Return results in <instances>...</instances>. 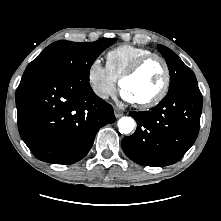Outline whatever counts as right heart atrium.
Masks as SVG:
<instances>
[{"label": "right heart atrium", "mask_w": 221, "mask_h": 221, "mask_svg": "<svg viewBox=\"0 0 221 221\" xmlns=\"http://www.w3.org/2000/svg\"><path fill=\"white\" fill-rule=\"evenodd\" d=\"M86 81L92 93L101 100L117 95V81L98 57L90 62L86 72Z\"/></svg>", "instance_id": "obj_1"}]
</instances>
